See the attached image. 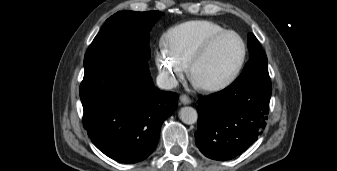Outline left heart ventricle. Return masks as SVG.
I'll use <instances>...</instances> for the list:
<instances>
[{"instance_id":"b2bd125f","label":"left heart ventricle","mask_w":337,"mask_h":171,"mask_svg":"<svg viewBox=\"0 0 337 171\" xmlns=\"http://www.w3.org/2000/svg\"><path fill=\"white\" fill-rule=\"evenodd\" d=\"M241 43L235 36L217 41L195 69V80L200 84L216 83L226 78L238 63Z\"/></svg>"}]
</instances>
